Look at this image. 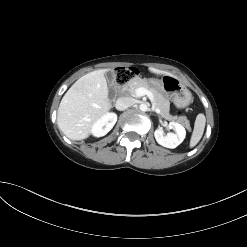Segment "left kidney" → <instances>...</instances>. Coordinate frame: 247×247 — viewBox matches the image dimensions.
Instances as JSON below:
<instances>
[{
  "mask_svg": "<svg viewBox=\"0 0 247 247\" xmlns=\"http://www.w3.org/2000/svg\"><path fill=\"white\" fill-rule=\"evenodd\" d=\"M169 128L173 129L176 134L168 133L166 136H164V132L162 129H156L154 132V136L158 144L166 148L173 149L183 142L186 136V130L181 124L177 122H170Z\"/></svg>",
  "mask_w": 247,
  "mask_h": 247,
  "instance_id": "1",
  "label": "left kidney"
}]
</instances>
